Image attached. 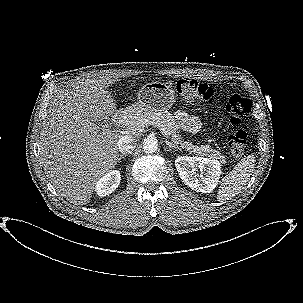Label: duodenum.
I'll use <instances>...</instances> for the list:
<instances>
[{"label": "duodenum", "instance_id": "obj_1", "mask_svg": "<svg viewBox=\"0 0 303 303\" xmlns=\"http://www.w3.org/2000/svg\"><path fill=\"white\" fill-rule=\"evenodd\" d=\"M126 114L127 111L124 110L117 111L113 116V121L115 123H121L125 119Z\"/></svg>", "mask_w": 303, "mask_h": 303}]
</instances>
